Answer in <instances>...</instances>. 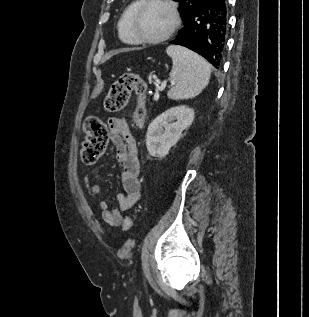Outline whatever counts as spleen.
Returning a JSON list of instances; mask_svg holds the SVG:
<instances>
[{
	"instance_id": "obj_1",
	"label": "spleen",
	"mask_w": 309,
	"mask_h": 317,
	"mask_svg": "<svg viewBox=\"0 0 309 317\" xmlns=\"http://www.w3.org/2000/svg\"><path fill=\"white\" fill-rule=\"evenodd\" d=\"M166 52L173 62L170 78L174 84L167 93L168 98L184 100L199 95L209 83L210 65L201 56L182 46L170 45Z\"/></svg>"
}]
</instances>
